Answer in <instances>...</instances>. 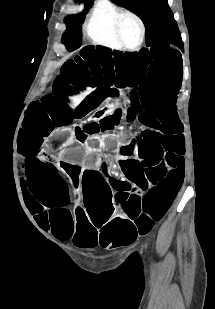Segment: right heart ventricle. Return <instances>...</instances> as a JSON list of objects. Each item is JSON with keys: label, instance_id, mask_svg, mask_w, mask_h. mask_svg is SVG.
<instances>
[{"label": "right heart ventricle", "instance_id": "obj_1", "mask_svg": "<svg viewBox=\"0 0 215 309\" xmlns=\"http://www.w3.org/2000/svg\"><path fill=\"white\" fill-rule=\"evenodd\" d=\"M119 10H102L100 14H95L94 19H88L87 32L89 39L95 45H100L106 48H119L118 44L115 42V32L111 30H116V23L114 19H110V15Z\"/></svg>", "mask_w": 215, "mask_h": 309}]
</instances>
